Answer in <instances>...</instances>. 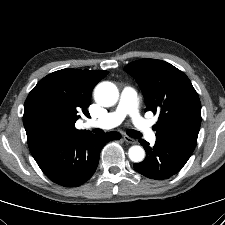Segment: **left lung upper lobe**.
Segmentation results:
<instances>
[{"label":"left lung upper lobe","instance_id":"left-lung-upper-lobe-1","mask_svg":"<svg viewBox=\"0 0 225 225\" xmlns=\"http://www.w3.org/2000/svg\"><path fill=\"white\" fill-rule=\"evenodd\" d=\"M138 82L146 110L159 113L156 140L193 152L201 124V103L189 78L173 65L142 59L125 66Z\"/></svg>","mask_w":225,"mask_h":225}]
</instances>
